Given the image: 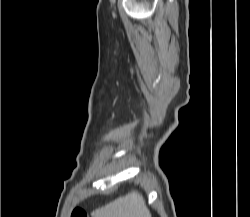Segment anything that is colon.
Here are the masks:
<instances>
[{"label":"colon","mask_w":250,"mask_h":217,"mask_svg":"<svg viewBox=\"0 0 250 217\" xmlns=\"http://www.w3.org/2000/svg\"><path fill=\"white\" fill-rule=\"evenodd\" d=\"M71 217H88V215L83 209L75 208L71 213Z\"/></svg>","instance_id":"obj_1"}]
</instances>
